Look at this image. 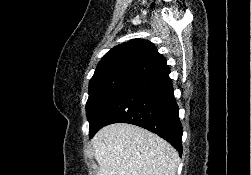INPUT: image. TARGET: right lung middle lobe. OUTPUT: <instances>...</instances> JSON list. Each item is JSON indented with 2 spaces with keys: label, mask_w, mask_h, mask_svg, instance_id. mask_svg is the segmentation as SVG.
<instances>
[{
  "label": "right lung middle lobe",
  "mask_w": 251,
  "mask_h": 175,
  "mask_svg": "<svg viewBox=\"0 0 251 175\" xmlns=\"http://www.w3.org/2000/svg\"><path fill=\"white\" fill-rule=\"evenodd\" d=\"M137 81L139 80L134 77L122 75L89 83L86 115L90 138L97 132L99 122L110 105Z\"/></svg>",
  "instance_id": "1"
}]
</instances>
